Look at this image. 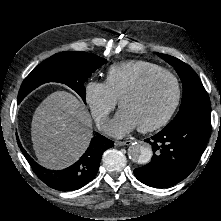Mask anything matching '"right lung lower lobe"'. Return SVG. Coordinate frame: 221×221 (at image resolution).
Segmentation results:
<instances>
[{
	"label": "right lung lower lobe",
	"instance_id": "1",
	"mask_svg": "<svg viewBox=\"0 0 221 221\" xmlns=\"http://www.w3.org/2000/svg\"><path fill=\"white\" fill-rule=\"evenodd\" d=\"M18 144L37 177L49 187L60 191H73L88 184L98 172L103 152L114 146L111 140L97 135L76 163L64 170L55 171L40 166L27 154L19 140Z\"/></svg>",
	"mask_w": 221,
	"mask_h": 221
}]
</instances>
